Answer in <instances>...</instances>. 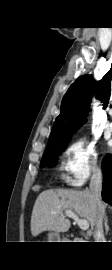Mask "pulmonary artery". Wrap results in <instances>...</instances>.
<instances>
[{
  "label": "pulmonary artery",
  "mask_w": 112,
  "mask_h": 270,
  "mask_svg": "<svg viewBox=\"0 0 112 270\" xmlns=\"http://www.w3.org/2000/svg\"><path fill=\"white\" fill-rule=\"evenodd\" d=\"M111 116H112V113H111ZM108 127H109V130L112 131V122L109 123Z\"/></svg>",
  "instance_id": "pulmonary-artery-1"
}]
</instances>
